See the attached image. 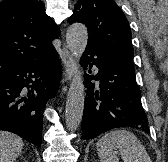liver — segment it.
Wrapping results in <instances>:
<instances>
[{
  "label": "liver",
  "instance_id": "6515ba94",
  "mask_svg": "<svg viewBox=\"0 0 168 162\" xmlns=\"http://www.w3.org/2000/svg\"><path fill=\"white\" fill-rule=\"evenodd\" d=\"M22 139L10 132L0 131V162H14L23 148Z\"/></svg>",
  "mask_w": 168,
  "mask_h": 162
}]
</instances>
